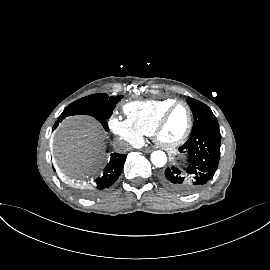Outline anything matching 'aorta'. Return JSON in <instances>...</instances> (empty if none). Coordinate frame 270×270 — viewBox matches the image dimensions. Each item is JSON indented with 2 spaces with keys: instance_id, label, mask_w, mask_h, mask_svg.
I'll return each mask as SVG.
<instances>
[{
  "instance_id": "obj_1",
  "label": "aorta",
  "mask_w": 270,
  "mask_h": 270,
  "mask_svg": "<svg viewBox=\"0 0 270 270\" xmlns=\"http://www.w3.org/2000/svg\"><path fill=\"white\" fill-rule=\"evenodd\" d=\"M151 162L155 167H163L167 162L166 154L163 151L157 150L151 153Z\"/></svg>"
}]
</instances>
